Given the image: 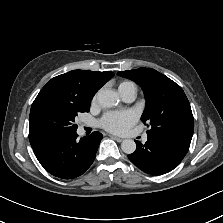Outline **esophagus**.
<instances>
[{"label":"esophagus","mask_w":223,"mask_h":223,"mask_svg":"<svg viewBox=\"0 0 223 223\" xmlns=\"http://www.w3.org/2000/svg\"><path fill=\"white\" fill-rule=\"evenodd\" d=\"M113 140H116L117 142H122L124 139L122 138H119L117 136H114V135H109Z\"/></svg>","instance_id":"esophagus-1"}]
</instances>
